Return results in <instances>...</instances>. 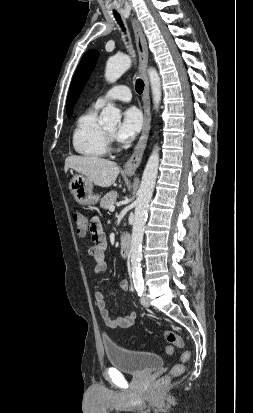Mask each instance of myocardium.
I'll return each instance as SVG.
<instances>
[{"mask_svg":"<svg viewBox=\"0 0 253 413\" xmlns=\"http://www.w3.org/2000/svg\"><path fill=\"white\" fill-rule=\"evenodd\" d=\"M104 133L107 139V144L110 146L113 143L114 140V134L107 129L104 128Z\"/></svg>","mask_w":253,"mask_h":413,"instance_id":"myocardium-1","label":"myocardium"}]
</instances>
